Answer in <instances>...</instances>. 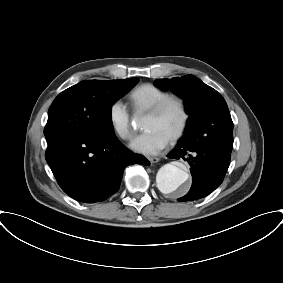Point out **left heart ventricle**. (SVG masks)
I'll list each match as a JSON object with an SVG mask.
<instances>
[{
  "mask_svg": "<svg viewBox=\"0 0 283 283\" xmlns=\"http://www.w3.org/2000/svg\"><path fill=\"white\" fill-rule=\"evenodd\" d=\"M180 122V108L176 103H172L158 116H145L143 127L146 131L155 130L169 139L178 129Z\"/></svg>",
  "mask_w": 283,
  "mask_h": 283,
  "instance_id": "1",
  "label": "left heart ventricle"
}]
</instances>
